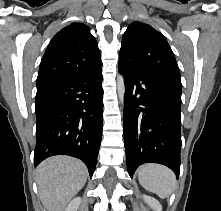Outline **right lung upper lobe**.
<instances>
[{
    "label": "right lung upper lobe",
    "instance_id": "right-lung-upper-lobe-1",
    "mask_svg": "<svg viewBox=\"0 0 221 211\" xmlns=\"http://www.w3.org/2000/svg\"><path fill=\"white\" fill-rule=\"evenodd\" d=\"M101 66L100 50L90 29L82 23H72L50 41L40 63L37 88Z\"/></svg>",
    "mask_w": 221,
    "mask_h": 211
}]
</instances>
